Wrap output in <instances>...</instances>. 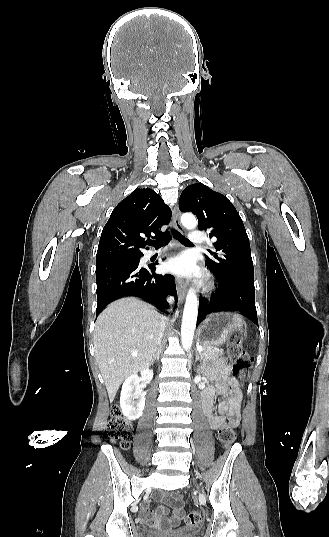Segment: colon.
<instances>
[{"mask_svg":"<svg viewBox=\"0 0 329 537\" xmlns=\"http://www.w3.org/2000/svg\"><path fill=\"white\" fill-rule=\"evenodd\" d=\"M228 354L234 360L233 373L240 378H246L252 364V357L242 350L239 340L229 346ZM111 412L112 416L108 426L109 437L113 442L126 449L133 439L132 424L121 414L119 405H113ZM235 426V422L229 421L219 428L218 437L225 446L233 444L236 438ZM200 522L201 514L198 511H191L186 517L188 526H196Z\"/></svg>","mask_w":329,"mask_h":537,"instance_id":"obj_1","label":"colon"}]
</instances>
